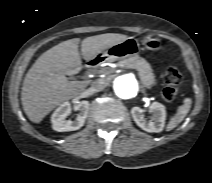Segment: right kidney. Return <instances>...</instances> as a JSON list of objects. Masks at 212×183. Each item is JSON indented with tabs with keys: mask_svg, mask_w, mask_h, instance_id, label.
Instances as JSON below:
<instances>
[{
	"mask_svg": "<svg viewBox=\"0 0 212 183\" xmlns=\"http://www.w3.org/2000/svg\"><path fill=\"white\" fill-rule=\"evenodd\" d=\"M75 109L79 111L77 117L74 120H66L71 112V104L68 101L61 104L51 116L52 128L58 132L80 129L87 118L89 102L80 101L75 105Z\"/></svg>",
	"mask_w": 212,
	"mask_h": 183,
	"instance_id": "obj_1",
	"label": "right kidney"
}]
</instances>
